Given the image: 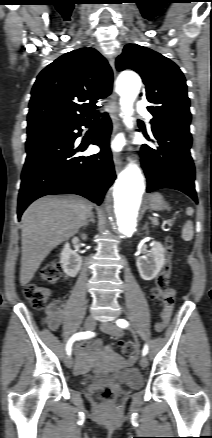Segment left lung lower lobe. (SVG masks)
Returning <instances> with one entry per match:
<instances>
[{
  "label": "left lung lower lobe",
  "instance_id": "0a47b994",
  "mask_svg": "<svg viewBox=\"0 0 212 438\" xmlns=\"http://www.w3.org/2000/svg\"><path fill=\"white\" fill-rule=\"evenodd\" d=\"M151 130L157 149L147 145L142 148V167L147 178V192L172 188L184 192L197 202L189 127L152 124ZM144 135L147 137L146 133Z\"/></svg>",
  "mask_w": 212,
  "mask_h": 438
}]
</instances>
